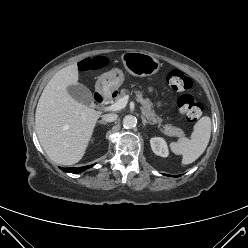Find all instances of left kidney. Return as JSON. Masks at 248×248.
I'll use <instances>...</instances> for the list:
<instances>
[{
    "label": "left kidney",
    "instance_id": "1",
    "mask_svg": "<svg viewBox=\"0 0 248 248\" xmlns=\"http://www.w3.org/2000/svg\"><path fill=\"white\" fill-rule=\"evenodd\" d=\"M150 144L153 152L161 157H167L169 155L168 146L166 141L161 137H154L150 139Z\"/></svg>",
    "mask_w": 248,
    "mask_h": 248
}]
</instances>
